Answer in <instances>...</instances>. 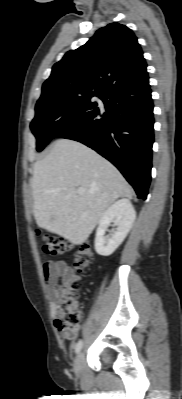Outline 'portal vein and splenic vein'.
<instances>
[{
	"instance_id": "obj_1",
	"label": "portal vein and splenic vein",
	"mask_w": 182,
	"mask_h": 399,
	"mask_svg": "<svg viewBox=\"0 0 182 399\" xmlns=\"http://www.w3.org/2000/svg\"><path fill=\"white\" fill-rule=\"evenodd\" d=\"M85 192L84 188H78V193L83 194Z\"/></svg>"
}]
</instances>
